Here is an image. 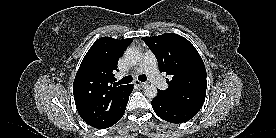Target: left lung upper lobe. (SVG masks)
Here are the masks:
<instances>
[{"label": "left lung upper lobe", "mask_w": 276, "mask_h": 138, "mask_svg": "<svg viewBox=\"0 0 276 138\" xmlns=\"http://www.w3.org/2000/svg\"><path fill=\"white\" fill-rule=\"evenodd\" d=\"M158 60L161 72L172 76L165 91L158 93L167 101L199 111L206 96V69L196 48L184 37L165 33L143 37Z\"/></svg>", "instance_id": "left-lung-upper-lobe-1"}]
</instances>
